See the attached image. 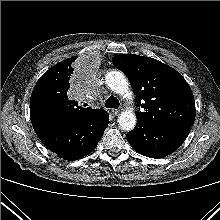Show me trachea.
I'll list each match as a JSON object with an SVG mask.
<instances>
[{
  "mask_svg": "<svg viewBox=\"0 0 220 220\" xmlns=\"http://www.w3.org/2000/svg\"><path fill=\"white\" fill-rule=\"evenodd\" d=\"M106 108H114V109H118L120 106L119 100L114 97V96H110L105 103Z\"/></svg>",
  "mask_w": 220,
  "mask_h": 220,
  "instance_id": "trachea-1",
  "label": "trachea"
}]
</instances>
